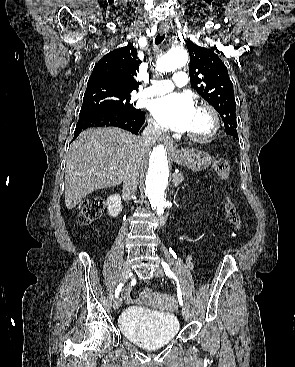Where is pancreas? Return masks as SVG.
<instances>
[{
    "label": "pancreas",
    "mask_w": 295,
    "mask_h": 367,
    "mask_svg": "<svg viewBox=\"0 0 295 367\" xmlns=\"http://www.w3.org/2000/svg\"><path fill=\"white\" fill-rule=\"evenodd\" d=\"M184 180V176L181 173L178 174H173V185L177 186L179 185L181 182H183Z\"/></svg>",
    "instance_id": "1"
}]
</instances>
